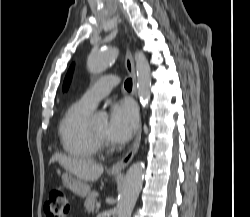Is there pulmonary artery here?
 <instances>
[{
  "mask_svg": "<svg viewBox=\"0 0 250 217\" xmlns=\"http://www.w3.org/2000/svg\"><path fill=\"white\" fill-rule=\"evenodd\" d=\"M119 84L114 75H107L93 83L82 95L80 101L90 108H94L99 100L107 96Z\"/></svg>",
  "mask_w": 250,
  "mask_h": 217,
  "instance_id": "e3ab8cb5",
  "label": "pulmonary artery"
}]
</instances>
